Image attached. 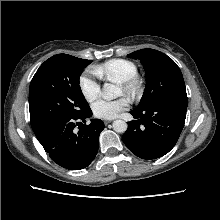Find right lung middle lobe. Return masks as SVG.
Listing matches in <instances>:
<instances>
[{"label":"right lung middle lobe","instance_id":"dd1d6c3e","mask_svg":"<svg viewBox=\"0 0 220 220\" xmlns=\"http://www.w3.org/2000/svg\"><path fill=\"white\" fill-rule=\"evenodd\" d=\"M92 60L57 54L35 73L29 89L33 131L64 116H76L90 107L79 86L81 71Z\"/></svg>","mask_w":220,"mask_h":220}]
</instances>
